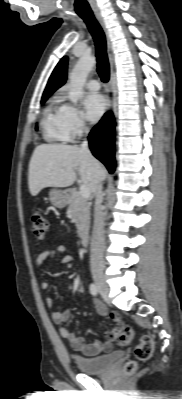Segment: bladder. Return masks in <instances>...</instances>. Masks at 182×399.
I'll use <instances>...</instances> for the list:
<instances>
[{
    "mask_svg": "<svg viewBox=\"0 0 182 399\" xmlns=\"http://www.w3.org/2000/svg\"><path fill=\"white\" fill-rule=\"evenodd\" d=\"M123 355V351L118 350L92 358L75 356L74 362L77 368L84 374H101L109 371Z\"/></svg>",
    "mask_w": 182,
    "mask_h": 399,
    "instance_id": "bladder-1",
    "label": "bladder"
}]
</instances>
